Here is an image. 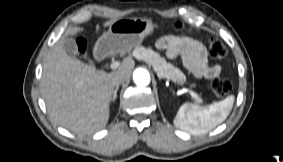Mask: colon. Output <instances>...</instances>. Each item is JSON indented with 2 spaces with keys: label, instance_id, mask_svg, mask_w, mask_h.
Here are the masks:
<instances>
[{
  "label": "colon",
  "instance_id": "1",
  "mask_svg": "<svg viewBox=\"0 0 283 162\" xmlns=\"http://www.w3.org/2000/svg\"><path fill=\"white\" fill-rule=\"evenodd\" d=\"M175 30L183 31L185 26L181 22L174 25ZM209 52L214 59H224L227 56V49L225 45L216 38L209 40ZM77 55L79 58H85L87 55L86 45L83 42L77 44ZM212 91L217 98H224L230 94L233 85L232 82L225 78H218L212 81Z\"/></svg>",
  "mask_w": 283,
  "mask_h": 162
}]
</instances>
